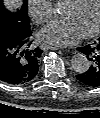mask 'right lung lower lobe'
Listing matches in <instances>:
<instances>
[{
  "mask_svg": "<svg viewBox=\"0 0 100 118\" xmlns=\"http://www.w3.org/2000/svg\"><path fill=\"white\" fill-rule=\"evenodd\" d=\"M31 35L29 30L19 37H0V80L21 85L35 77L42 50L32 43Z\"/></svg>",
  "mask_w": 100,
  "mask_h": 118,
  "instance_id": "right-lung-lower-lobe-1",
  "label": "right lung lower lobe"
}]
</instances>
